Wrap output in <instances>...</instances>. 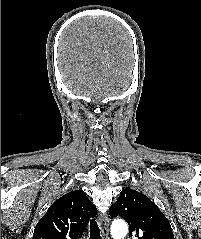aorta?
I'll return each mask as SVG.
<instances>
[{"mask_svg": "<svg viewBox=\"0 0 201 239\" xmlns=\"http://www.w3.org/2000/svg\"><path fill=\"white\" fill-rule=\"evenodd\" d=\"M128 233V226L122 219H116L111 225V236L113 239H123Z\"/></svg>", "mask_w": 201, "mask_h": 239, "instance_id": "aorta-1", "label": "aorta"}]
</instances>
